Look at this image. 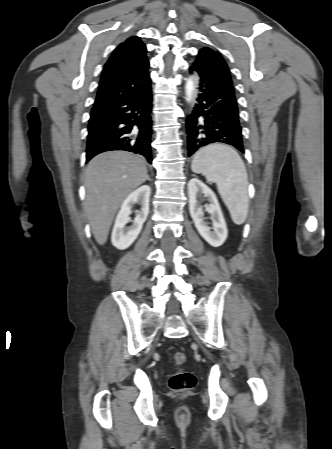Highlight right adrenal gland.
<instances>
[{
    "instance_id": "1",
    "label": "right adrenal gland",
    "mask_w": 332,
    "mask_h": 449,
    "mask_svg": "<svg viewBox=\"0 0 332 449\" xmlns=\"http://www.w3.org/2000/svg\"><path fill=\"white\" fill-rule=\"evenodd\" d=\"M147 180H149V181H150V178H149V176H147Z\"/></svg>"
}]
</instances>
